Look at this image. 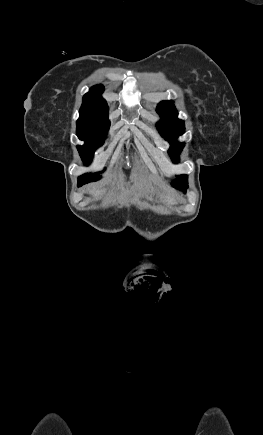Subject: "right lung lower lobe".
I'll use <instances>...</instances> for the list:
<instances>
[{
  "label": "right lung lower lobe",
  "mask_w": 263,
  "mask_h": 435,
  "mask_svg": "<svg viewBox=\"0 0 263 435\" xmlns=\"http://www.w3.org/2000/svg\"><path fill=\"white\" fill-rule=\"evenodd\" d=\"M81 185H83V183H81V182H78V186H81Z\"/></svg>",
  "instance_id": "right-lung-lower-lobe-1"
}]
</instances>
